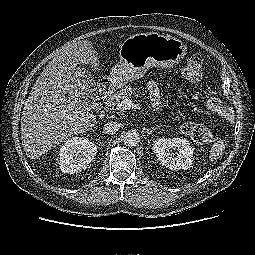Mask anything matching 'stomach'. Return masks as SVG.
<instances>
[{"label": "stomach", "instance_id": "1", "mask_svg": "<svg viewBox=\"0 0 255 255\" xmlns=\"http://www.w3.org/2000/svg\"><path fill=\"white\" fill-rule=\"evenodd\" d=\"M187 54L179 39L159 33L134 34L120 45V61L112 67L109 84L117 89L143 77L151 67L170 68Z\"/></svg>", "mask_w": 255, "mask_h": 255}]
</instances>
